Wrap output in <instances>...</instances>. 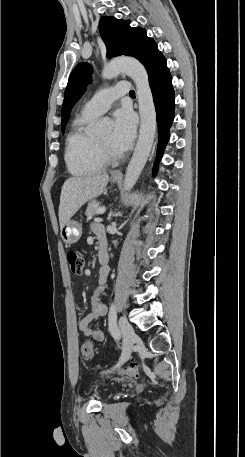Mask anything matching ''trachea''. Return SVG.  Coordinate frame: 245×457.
<instances>
[{
    "mask_svg": "<svg viewBox=\"0 0 245 457\" xmlns=\"http://www.w3.org/2000/svg\"><path fill=\"white\" fill-rule=\"evenodd\" d=\"M129 94L135 95L134 90H130Z\"/></svg>",
    "mask_w": 245,
    "mask_h": 457,
    "instance_id": "obj_1",
    "label": "trachea"
}]
</instances>
